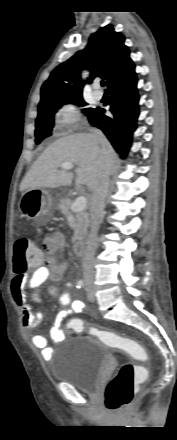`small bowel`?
Instances as JSON below:
<instances>
[{
    "instance_id": "small-bowel-1",
    "label": "small bowel",
    "mask_w": 177,
    "mask_h": 440,
    "mask_svg": "<svg viewBox=\"0 0 177 440\" xmlns=\"http://www.w3.org/2000/svg\"><path fill=\"white\" fill-rule=\"evenodd\" d=\"M66 245L65 236L58 231L51 233L44 239L43 248L46 252V258L39 263L31 275L16 273L10 283L11 296L19 307L22 315V324L25 328H34L43 318V313L34 311L28 302V290H32V299L34 302H40L39 290L47 283V291L50 296L58 297L61 310L56 315L53 326L50 331L54 342H61L65 334L60 328L61 323L70 314H80L85 312L86 306L82 301L74 300L70 289L72 284L66 283V290L59 293L57 283L60 282L65 274L67 265L64 262L57 261L55 255L62 251ZM33 346L40 350L45 359H49L52 349L48 346L47 338L44 335H34L32 337Z\"/></svg>"
}]
</instances>
